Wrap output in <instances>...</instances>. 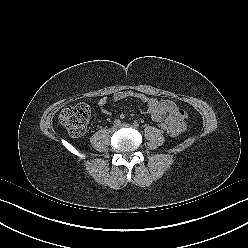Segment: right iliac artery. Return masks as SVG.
Listing matches in <instances>:
<instances>
[{"instance_id":"1","label":"right iliac artery","mask_w":248,"mask_h":248,"mask_svg":"<svg viewBox=\"0 0 248 248\" xmlns=\"http://www.w3.org/2000/svg\"><path fill=\"white\" fill-rule=\"evenodd\" d=\"M121 124V121L119 119H116L114 122H113V125L114 126H119Z\"/></svg>"}]
</instances>
